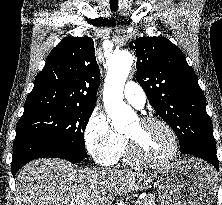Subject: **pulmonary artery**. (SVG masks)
<instances>
[{"mask_svg":"<svg viewBox=\"0 0 222 205\" xmlns=\"http://www.w3.org/2000/svg\"><path fill=\"white\" fill-rule=\"evenodd\" d=\"M123 94L126 101H128L133 106L137 108H142L144 106L146 96L142 87L136 82H127L124 87Z\"/></svg>","mask_w":222,"mask_h":205,"instance_id":"obj_1","label":"pulmonary artery"}]
</instances>
